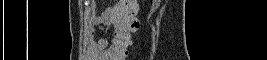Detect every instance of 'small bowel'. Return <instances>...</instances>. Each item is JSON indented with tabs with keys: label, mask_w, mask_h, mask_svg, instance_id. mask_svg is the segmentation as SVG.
<instances>
[{
	"label": "small bowel",
	"mask_w": 267,
	"mask_h": 60,
	"mask_svg": "<svg viewBox=\"0 0 267 60\" xmlns=\"http://www.w3.org/2000/svg\"><path fill=\"white\" fill-rule=\"evenodd\" d=\"M109 23H110L109 16L101 17V19L94 26V29H93L91 35L94 36V33L98 28H102L106 24H109ZM106 43H107V38H100L97 42H93L91 45H92L94 53L98 55L102 51V49L106 45Z\"/></svg>",
	"instance_id": "1"
}]
</instances>
